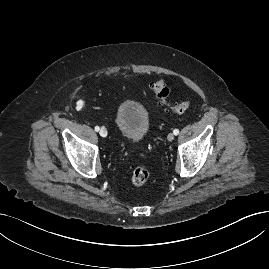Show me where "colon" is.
I'll return each mask as SVG.
<instances>
[{"label": "colon", "mask_w": 269, "mask_h": 269, "mask_svg": "<svg viewBox=\"0 0 269 269\" xmlns=\"http://www.w3.org/2000/svg\"><path fill=\"white\" fill-rule=\"evenodd\" d=\"M150 88L157 98L159 105L165 107L174 114H183L187 111L192 101L190 99L182 100L178 103H171L169 101L170 90L162 79H157L150 84ZM151 176V171L147 164L139 162L133 169L131 180L136 186H142L148 182Z\"/></svg>", "instance_id": "colon-1"}]
</instances>
